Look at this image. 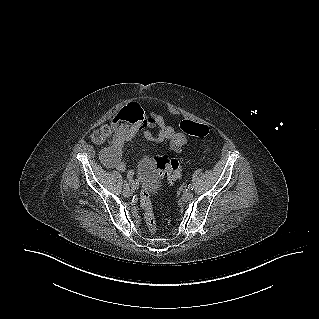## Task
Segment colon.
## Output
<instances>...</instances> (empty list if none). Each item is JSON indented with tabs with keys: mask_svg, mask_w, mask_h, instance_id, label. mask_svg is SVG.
I'll return each mask as SVG.
<instances>
[{
	"mask_svg": "<svg viewBox=\"0 0 319 319\" xmlns=\"http://www.w3.org/2000/svg\"><path fill=\"white\" fill-rule=\"evenodd\" d=\"M182 133L187 135H182ZM211 134V129L206 123L181 118L176 121V124L166 122L159 125L155 136L159 144L178 149L186 145L189 135L206 140L211 137ZM98 139L104 141L100 131L98 133ZM154 163L161 177L167 178L172 183L181 179L183 171L181 163L177 158L157 155L154 157ZM140 205L144 211L147 228L151 233H154L156 231V221L150 193L146 186H143L140 192Z\"/></svg>",
	"mask_w": 319,
	"mask_h": 319,
	"instance_id": "1",
	"label": "colon"
}]
</instances>
